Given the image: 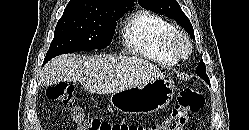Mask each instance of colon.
Instances as JSON below:
<instances>
[{"label":"colon","instance_id":"1","mask_svg":"<svg viewBox=\"0 0 249 130\" xmlns=\"http://www.w3.org/2000/svg\"><path fill=\"white\" fill-rule=\"evenodd\" d=\"M47 97L70 111L76 130H183L192 114L204 105V96L192 87H185L177 96L170 114L160 123L144 126L134 123H111L88 116L78 105L74 95V86L70 83H58L46 91Z\"/></svg>","mask_w":249,"mask_h":130}]
</instances>
